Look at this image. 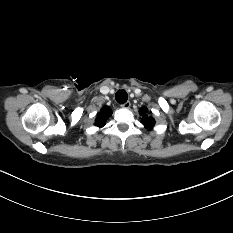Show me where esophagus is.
I'll use <instances>...</instances> for the list:
<instances>
[{
	"mask_svg": "<svg viewBox=\"0 0 233 233\" xmlns=\"http://www.w3.org/2000/svg\"><path fill=\"white\" fill-rule=\"evenodd\" d=\"M131 106V103L129 101H126L125 103L121 104L122 108L128 109Z\"/></svg>",
	"mask_w": 233,
	"mask_h": 233,
	"instance_id": "1",
	"label": "esophagus"
}]
</instances>
